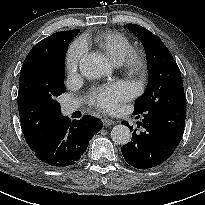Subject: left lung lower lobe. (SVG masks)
I'll list each match as a JSON object with an SVG mask.
<instances>
[{
	"label": "left lung lower lobe",
	"mask_w": 205,
	"mask_h": 205,
	"mask_svg": "<svg viewBox=\"0 0 205 205\" xmlns=\"http://www.w3.org/2000/svg\"><path fill=\"white\" fill-rule=\"evenodd\" d=\"M140 117L137 126L141 131L133 132L131 141L121 147V152L129 165L148 169L166 161L178 146L184 132L186 101L158 105L136 116ZM122 124L128 126L126 122Z\"/></svg>",
	"instance_id": "1"
}]
</instances>
